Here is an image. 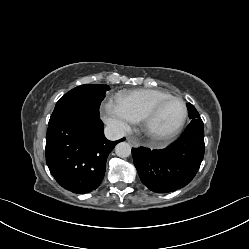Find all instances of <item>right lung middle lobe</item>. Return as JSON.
Masks as SVG:
<instances>
[{"label": "right lung middle lobe", "mask_w": 249, "mask_h": 249, "mask_svg": "<svg viewBox=\"0 0 249 249\" xmlns=\"http://www.w3.org/2000/svg\"><path fill=\"white\" fill-rule=\"evenodd\" d=\"M107 90H109V87L101 84H84L70 90L56 103L48 126L73 113H99L100 103L104 99Z\"/></svg>", "instance_id": "obj_1"}]
</instances>
